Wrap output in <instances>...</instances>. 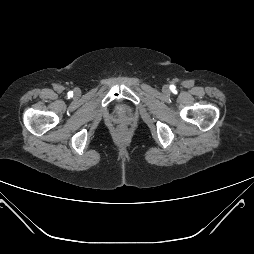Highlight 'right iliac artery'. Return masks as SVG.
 Segmentation results:
<instances>
[{
  "label": "right iliac artery",
  "instance_id": "obj_1",
  "mask_svg": "<svg viewBox=\"0 0 254 254\" xmlns=\"http://www.w3.org/2000/svg\"><path fill=\"white\" fill-rule=\"evenodd\" d=\"M68 94H69V95H71L72 93H71V92H69Z\"/></svg>",
  "mask_w": 254,
  "mask_h": 254
}]
</instances>
